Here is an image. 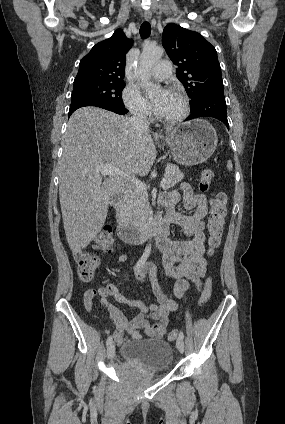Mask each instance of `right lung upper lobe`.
Instances as JSON below:
<instances>
[{
  "label": "right lung upper lobe",
  "instance_id": "right-lung-upper-lobe-1",
  "mask_svg": "<svg viewBox=\"0 0 285 424\" xmlns=\"http://www.w3.org/2000/svg\"><path fill=\"white\" fill-rule=\"evenodd\" d=\"M132 44L133 41L126 37L123 30L117 29L110 38L97 43L82 58L74 84L123 81L125 56Z\"/></svg>",
  "mask_w": 285,
  "mask_h": 424
}]
</instances>
